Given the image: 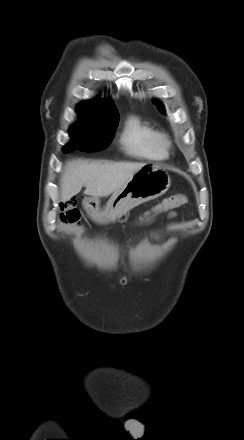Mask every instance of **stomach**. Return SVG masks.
Here are the masks:
<instances>
[{"label": "stomach", "mask_w": 244, "mask_h": 440, "mask_svg": "<svg viewBox=\"0 0 244 440\" xmlns=\"http://www.w3.org/2000/svg\"><path fill=\"white\" fill-rule=\"evenodd\" d=\"M171 185L170 176L159 165L145 164L101 208L96 197H87L83 205L92 220L108 223L122 217L134 207L165 194Z\"/></svg>", "instance_id": "stomach-1"}]
</instances>
